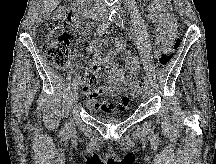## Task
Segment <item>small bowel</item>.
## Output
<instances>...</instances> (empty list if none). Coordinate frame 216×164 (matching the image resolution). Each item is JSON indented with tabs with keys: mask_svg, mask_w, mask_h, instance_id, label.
I'll list each match as a JSON object with an SVG mask.
<instances>
[{
	"mask_svg": "<svg viewBox=\"0 0 216 164\" xmlns=\"http://www.w3.org/2000/svg\"><path fill=\"white\" fill-rule=\"evenodd\" d=\"M148 20L155 26L156 51L155 56L160 57L166 47L168 33L175 19L172 13L170 0H151L148 6ZM91 67L98 70L104 65L107 71L108 85L97 88H82L86 106L92 111L101 110L105 113L122 112L129 103L128 90L140 72L139 60L126 50L125 41L122 38L115 39V47L106 55H102L101 43L92 41L87 47ZM125 57V68L118 65L117 57ZM119 96L116 102L99 101V96Z\"/></svg>",
	"mask_w": 216,
	"mask_h": 164,
	"instance_id": "1",
	"label": "small bowel"
}]
</instances>
